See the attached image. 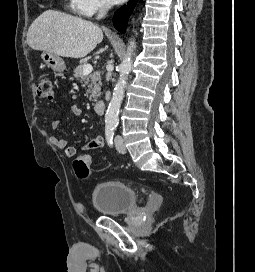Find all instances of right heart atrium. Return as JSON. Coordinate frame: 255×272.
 <instances>
[{
	"label": "right heart atrium",
	"mask_w": 255,
	"mask_h": 272,
	"mask_svg": "<svg viewBox=\"0 0 255 272\" xmlns=\"http://www.w3.org/2000/svg\"><path fill=\"white\" fill-rule=\"evenodd\" d=\"M69 8L78 15L91 17L105 11L108 4L106 0H70Z\"/></svg>",
	"instance_id": "1"
}]
</instances>
